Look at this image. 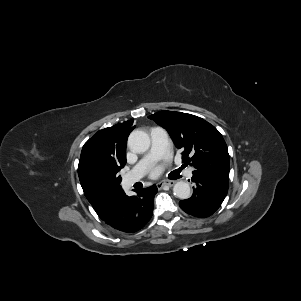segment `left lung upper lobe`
<instances>
[{"label": "left lung upper lobe", "instance_id": "obj_1", "mask_svg": "<svg viewBox=\"0 0 301 301\" xmlns=\"http://www.w3.org/2000/svg\"><path fill=\"white\" fill-rule=\"evenodd\" d=\"M148 118L168 131L182 150V162L195 168L193 175L228 186V149L214 126L195 115L175 111H160Z\"/></svg>", "mask_w": 301, "mask_h": 301}]
</instances>
